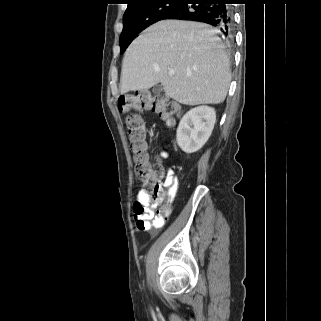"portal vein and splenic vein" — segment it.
<instances>
[{
	"label": "portal vein and splenic vein",
	"mask_w": 321,
	"mask_h": 321,
	"mask_svg": "<svg viewBox=\"0 0 321 321\" xmlns=\"http://www.w3.org/2000/svg\"><path fill=\"white\" fill-rule=\"evenodd\" d=\"M169 75H174V70H170Z\"/></svg>",
	"instance_id": "portal-vein-and-splenic-vein-1"
}]
</instances>
